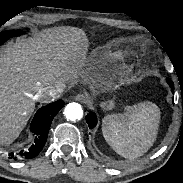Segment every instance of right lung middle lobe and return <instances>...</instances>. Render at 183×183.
Wrapping results in <instances>:
<instances>
[{
    "label": "right lung middle lobe",
    "mask_w": 183,
    "mask_h": 183,
    "mask_svg": "<svg viewBox=\"0 0 183 183\" xmlns=\"http://www.w3.org/2000/svg\"><path fill=\"white\" fill-rule=\"evenodd\" d=\"M23 31H4L0 33V45L10 37L21 35Z\"/></svg>",
    "instance_id": "right-lung-middle-lobe-1"
}]
</instances>
